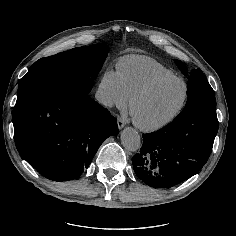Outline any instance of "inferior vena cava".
<instances>
[{"label": "inferior vena cava", "mask_w": 236, "mask_h": 236, "mask_svg": "<svg viewBox=\"0 0 236 236\" xmlns=\"http://www.w3.org/2000/svg\"><path fill=\"white\" fill-rule=\"evenodd\" d=\"M96 100L105 106L112 104V98L110 96V91L107 89L99 88L96 92Z\"/></svg>", "instance_id": "1"}]
</instances>
